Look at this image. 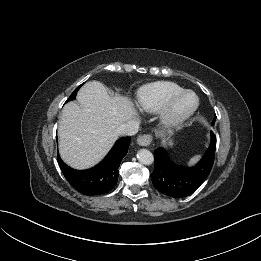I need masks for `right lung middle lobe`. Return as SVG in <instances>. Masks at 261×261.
I'll list each match as a JSON object with an SVG mask.
<instances>
[{"label": "right lung middle lobe", "mask_w": 261, "mask_h": 261, "mask_svg": "<svg viewBox=\"0 0 261 261\" xmlns=\"http://www.w3.org/2000/svg\"><path fill=\"white\" fill-rule=\"evenodd\" d=\"M81 86H82V84L74 90V92L71 94V96L68 98V100L66 102L74 100L76 98L77 91L79 90V88Z\"/></svg>", "instance_id": "1"}]
</instances>
